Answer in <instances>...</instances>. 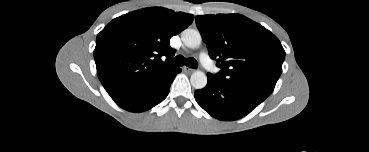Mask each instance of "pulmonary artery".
<instances>
[{
    "label": "pulmonary artery",
    "instance_id": "1",
    "mask_svg": "<svg viewBox=\"0 0 369 152\" xmlns=\"http://www.w3.org/2000/svg\"><path fill=\"white\" fill-rule=\"evenodd\" d=\"M200 60L203 64V66L210 72H214L216 70L215 65L213 64V62L210 60V58L208 57V55L206 53H201L200 55Z\"/></svg>",
    "mask_w": 369,
    "mask_h": 152
}]
</instances>
